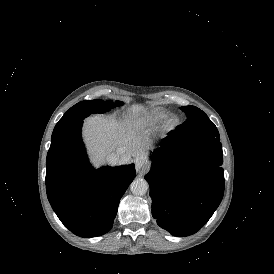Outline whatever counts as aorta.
Listing matches in <instances>:
<instances>
[{"label":"aorta","instance_id":"obj_1","mask_svg":"<svg viewBox=\"0 0 274 274\" xmlns=\"http://www.w3.org/2000/svg\"><path fill=\"white\" fill-rule=\"evenodd\" d=\"M148 188H149V185L147 181L143 178L135 179L130 185L132 194L137 196L145 195L148 191Z\"/></svg>","mask_w":274,"mask_h":274}]
</instances>
